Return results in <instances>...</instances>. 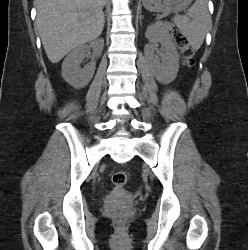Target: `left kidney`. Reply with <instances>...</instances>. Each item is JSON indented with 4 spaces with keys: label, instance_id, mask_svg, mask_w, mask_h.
Instances as JSON below:
<instances>
[{
    "label": "left kidney",
    "instance_id": "5707ae66",
    "mask_svg": "<svg viewBox=\"0 0 248 250\" xmlns=\"http://www.w3.org/2000/svg\"><path fill=\"white\" fill-rule=\"evenodd\" d=\"M145 36L150 42V49L155 50V45L159 42L164 51L153 59V75L163 84L172 82L179 70V55L170 33L161 25L155 23L147 27Z\"/></svg>",
    "mask_w": 248,
    "mask_h": 250
}]
</instances>
